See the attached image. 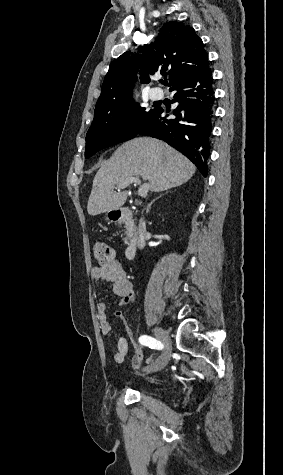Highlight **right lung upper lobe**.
I'll return each mask as SVG.
<instances>
[{"label": "right lung upper lobe", "instance_id": "1", "mask_svg": "<svg viewBox=\"0 0 283 475\" xmlns=\"http://www.w3.org/2000/svg\"><path fill=\"white\" fill-rule=\"evenodd\" d=\"M142 55L125 52L109 67L96 108L125 103L132 99L133 82L140 69L142 83L155 72L168 75L169 87L209 68L208 55L194 29L182 22L163 25L155 43L145 45Z\"/></svg>", "mask_w": 283, "mask_h": 475}]
</instances>
